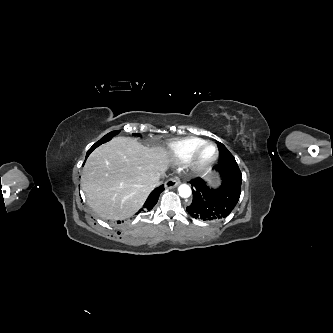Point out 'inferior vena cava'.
I'll list each match as a JSON object with an SVG mask.
<instances>
[{"instance_id": "602c4592", "label": "inferior vena cava", "mask_w": 333, "mask_h": 333, "mask_svg": "<svg viewBox=\"0 0 333 333\" xmlns=\"http://www.w3.org/2000/svg\"><path fill=\"white\" fill-rule=\"evenodd\" d=\"M159 185H160V182L157 181L156 183H154V184L152 185V188L158 187Z\"/></svg>"}]
</instances>
